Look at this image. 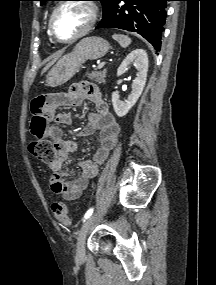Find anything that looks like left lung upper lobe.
<instances>
[{
	"label": "left lung upper lobe",
	"instance_id": "1",
	"mask_svg": "<svg viewBox=\"0 0 216 285\" xmlns=\"http://www.w3.org/2000/svg\"><path fill=\"white\" fill-rule=\"evenodd\" d=\"M39 1L41 2V5H43L46 1H53V0H39ZM96 1H100L102 3L103 15L109 11L111 4L113 2V0H96Z\"/></svg>",
	"mask_w": 216,
	"mask_h": 285
}]
</instances>
